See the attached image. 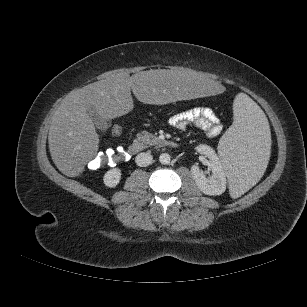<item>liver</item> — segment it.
Listing matches in <instances>:
<instances>
[{
  "label": "liver",
  "instance_id": "6515ba94",
  "mask_svg": "<svg viewBox=\"0 0 307 307\" xmlns=\"http://www.w3.org/2000/svg\"><path fill=\"white\" fill-rule=\"evenodd\" d=\"M134 96L142 103L164 105L178 100L221 95L225 86L188 68L149 70L132 76L121 72L71 91L55 111L48 134L49 151L56 167L76 177L99 148V136L88 114L94 108L111 120L130 112Z\"/></svg>",
  "mask_w": 307,
  "mask_h": 307
}]
</instances>
